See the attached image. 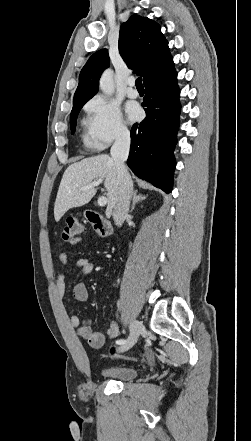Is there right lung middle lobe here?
I'll return each mask as SVG.
<instances>
[{
	"label": "right lung middle lobe",
	"instance_id": "right-lung-middle-lobe-1",
	"mask_svg": "<svg viewBox=\"0 0 251 441\" xmlns=\"http://www.w3.org/2000/svg\"><path fill=\"white\" fill-rule=\"evenodd\" d=\"M88 100L89 99H81V100L73 101V109H72L71 115H70V127H71L72 133H74L75 129H76V120H77V116L79 114V111L81 110L83 105Z\"/></svg>",
	"mask_w": 251,
	"mask_h": 441
}]
</instances>
